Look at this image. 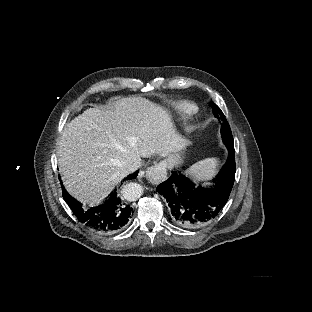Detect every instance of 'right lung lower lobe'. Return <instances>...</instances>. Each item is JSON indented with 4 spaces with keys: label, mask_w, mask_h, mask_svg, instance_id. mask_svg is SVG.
Here are the masks:
<instances>
[{
    "label": "right lung lower lobe",
    "mask_w": 312,
    "mask_h": 312,
    "mask_svg": "<svg viewBox=\"0 0 312 312\" xmlns=\"http://www.w3.org/2000/svg\"><path fill=\"white\" fill-rule=\"evenodd\" d=\"M138 172L128 176L126 179H134ZM63 198L72 209L77 219L87 228L102 234H112L122 230L129 222L134 211L130 204L123 199L115 189L110 197L102 204L85 209L71 197L64 189L62 182Z\"/></svg>",
    "instance_id": "right-lung-lower-lobe-1"
}]
</instances>
